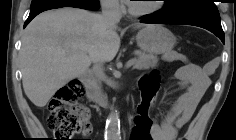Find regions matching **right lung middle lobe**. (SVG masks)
Wrapping results in <instances>:
<instances>
[{
    "mask_svg": "<svg viewBox=\"0 0 236 140\" xmlns=\"http://www.w3.org/2000/svg\"><path fill=\"white\" fill-rule=\"evenodd\" d=\"M62 3L79 4L92 10L100 8L98 0H32L30 10Z\"/></svg>",
    "mask_w": 236,
    "mask_h": 140,
    "instance_id": "obj_1",
    "label": "right lung middle lobe"
}]
</instances>
